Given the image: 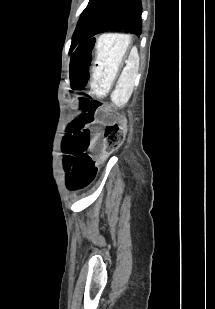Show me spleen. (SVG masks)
<instances>
[{"mask_svg": "<svg viewBox=\"0 0 215 309\" xmlns=\"http://www.w3.org/2000/svg\"><path fill=\"white\" fill-rule=\"evenodd\" d=\"M129 62L134 66V72H132L131 68H124V70H122L117 88L112 94V100L115 102L116 106H124L133 92L134 80L139 68V54L136 46L131 48Z\"/></svg>", "mask_w": 215, "mask_h": 309, "instance_id": "1", "label": "spleen"}]
</instances>
